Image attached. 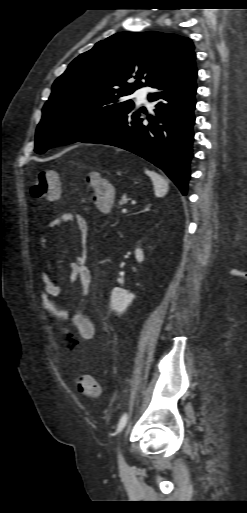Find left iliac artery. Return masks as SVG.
I'll return each mask as SVG.
<instances>
[{
  "label": "left iliac artery",
  "instance_id": "obj_1",
  "mask_svg": "<svg viewBox=\"0 0 247 513\" xmlns=\"http://www.w3.org/2000/svg\"><path fill=\"white\" fill-rule=\"evenodd\" d=\"M127 419H128V415L127 413H124L120 420H119V423H118V426H117V432H121L123 430V428L125 427L126 423H127Z\"/></svg>",
  "mask_w": 247,
  "mask_h": 513
}]
</instances>
